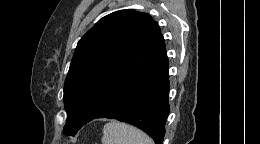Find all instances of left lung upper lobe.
Segmentation results:
<instances>
[{
  "instance_id": "left-lung-upper-lobe-1",
  "label": "left lung upper lobe",
  "mask_w": 260,
  "mask_h": 144,
  "mask_svg": "<svg viewBox=\"0 0 260 144\" xmlns=\"http://www.w3.org/2000/svg\"><path fill=\"white\" fill-rule=\"evenodd\" d=\"M165 50L159 25L146 13L113 12L95 24L78 42L64 84L65 135L93 120L122 81ZM169 80L168 59L157 62Z\"/></svg>"
}]
</instances>
